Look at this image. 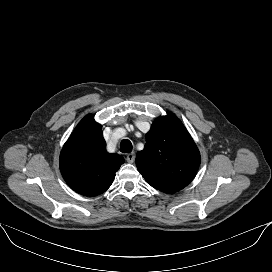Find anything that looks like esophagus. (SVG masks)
Here are the masks:
<instances>
[{
    "label": "esophagus",
    "mask_w": 272,
    "mask_h": 272,
    "mask_svg": "<svg viewBox=\"0 0 272 272\" xmlns=\"http://www.w3.org/2000/svg\"><path fill=\"white\" fill-rule=\"evenodd\" d=\"M126 160H127V162H129V163H133V162L135 161V154H134L133 152L127 154Z\"/></svg>",
    "instance_id": "1"
}]
</instances>
